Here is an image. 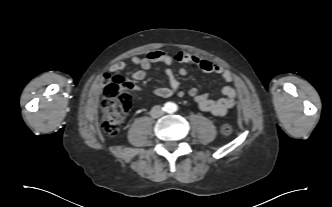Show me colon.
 I'll list each match as a JSON object with an SVG mask.
<instances>
[{
  "label": "colon",
  "mask_w": 332,
  "mask_h": 207,
  "mask_svg": "<svg viewBox=\"0 0 332 207\" xmlns=\"http://www.w3.org/2000/svg\"><path fill=\"white\" fill-rule=\"evenodd\" d=\"M132 84L123 74L113 75L104 87V100L102 101V130L109 136L118 134L124 117L132 106V98L129 90ZM221 131L230 135L233 128L229 124L222 126Z\"/></svg>",
  "instance_id": "colon-1"
}]
</instances>
